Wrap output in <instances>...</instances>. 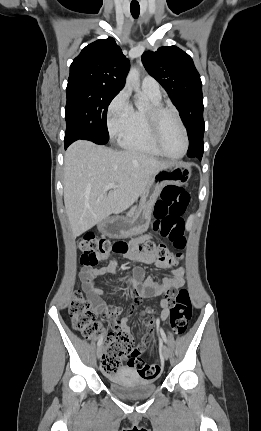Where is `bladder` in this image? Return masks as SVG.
<instances>
[{"instance_id":"bladder-1","label":"bladder","mask_w":261,"mask_h":431,"mask_svg":"<svg viewBox=\"0 0 261 431\" xmlns=\"http://www.w3.org/2000/svg\"><path fill=\"white\" fill-rule=\"evenodd\" d=\"M109 387L123 398L139 399L152 395L157 386L154 380L141 378L134 369L124 367L109 377Z\"/></svg>"}]
</instances>
